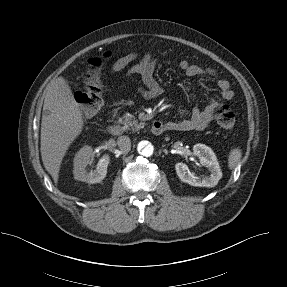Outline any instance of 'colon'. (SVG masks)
<instances>
[{
  "label": "colon",
  "mask_w": 287,
  "mask_h": 287,
  "mask_svg": "<svg viewBox=\"0 0 287 287\" xmlns=\"http://www.w3.org/2000/svg\"><path fill=\"white\" fill-rule=\"evenodd\" d=\"M109 57L110 54L107 53L102 58L89 60L90 71L84 78V88L75 93V99L87 117L96 114L103 104V90L99 70L103 65V60H107ZM215 119L224 130L231 131L235 127V114L226 104L217 107Z\"/></svg>",
  "instance_id": "colon-1"
}]
</instances>
